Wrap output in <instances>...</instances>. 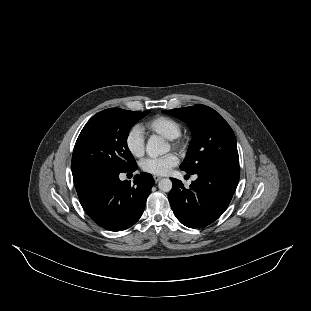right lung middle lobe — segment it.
<instances>
[{
  "mask_svg": "<svg viewBox=\"0 0 311 311\" xmlns=\"http://www.w3.org/2000/svg\"><path fill=\"white\" fill-rule=\"evenodd\" d=\"M149 112L110 108L94 115L75 143L72 174L89 168L127 172L137 167L127 146V137L130 128Z\"/></svg>",
  "mask_w": 311,
  "mask_h": 311,
  "instance_id": "1",
  "label": "right lung middle lobe"
}]
</instances>
